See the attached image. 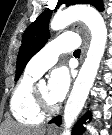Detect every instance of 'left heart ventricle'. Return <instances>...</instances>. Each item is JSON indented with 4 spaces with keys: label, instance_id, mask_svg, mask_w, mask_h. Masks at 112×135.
Instances as JSON below:
<instances>
[{
    "label": "left heart ventricle",
    "instance_id": "1",
    "mask_svg": "<svg viewBox=\"0 0 112 135\" xmlns=\"http://www.w3.org/2000/svg\"><path fill=\"white\" fill-rule=\"evenodd\" d=\"M38 92L40 96L50 105L55 104V102L50 98L48 91V84H40L38 85Z\"/></svg>",
    "mask_w": 112,
    "mask_h": 135
}]
</instances>
